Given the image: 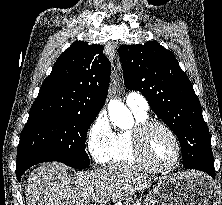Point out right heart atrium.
<instances>
[{
  "instance_id": "1",
  "label": "right heart atrium",
  "mask_w": 222,
  "mask_h": 205,
  "mask_svg": "<svg viewBox=\"0 0 222 205\" xmlns=\"http://www.w3.org/2000/svg\"><path fill=\"white\" fill-rule=\"evenodd\" d=\"M114 140V132L107 117L100 114L91 124L87 134V144L93 159L104 163L108 157Z\"/></svg>"
}]
</instances>
